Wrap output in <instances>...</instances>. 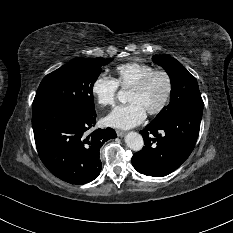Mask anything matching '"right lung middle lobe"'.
<instances>
[{"label":"right lung middle lobe","instance_id":"1","mask_svg":"<svg viewBox=\"0 0 233 233\" xmlns=\"http://www.w3.org/2000/svg\"><path fill=\"white\" fill-rule=\"evenodd\" d=\"M111 59L80 58L48 74L42 80L33 107H67L87 114L95 113L93 85L101 67Z\"/></svg>","mask_w":233,"mask_h":233}]
</instances>
